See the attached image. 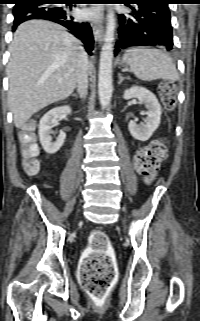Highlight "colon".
Instances as JSON below:
<instances>
[{
	"instance_id": "5ec220e1",
	"label": "colon",
	"mask_w": 200,
	"mask_h": 321,
	"mask_svg": "<svg viewBox=\"0 0 200 321\" xmlns=\"http://www.w3.org/2000/svg\"><path fill=\"white\" fill-rule=\"evenodd\" d=\"M176 92L177 84L175 82L168 81L160 85L159 94L166 109H174ZM20 139L24 156V170L28 175H34L39 170V163L35 158L39 149L31 125L21 133ZM167 155L166 140H154L136 152L134 156L135 169L147 181H150L157 174ZM114 277L115 265L110 240L105 232L95 230L89 235L88 247L80 263V283L93 299L101 301L107 295Z\"/></svg>"
}]
</instances>
